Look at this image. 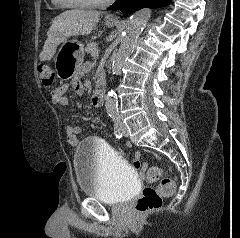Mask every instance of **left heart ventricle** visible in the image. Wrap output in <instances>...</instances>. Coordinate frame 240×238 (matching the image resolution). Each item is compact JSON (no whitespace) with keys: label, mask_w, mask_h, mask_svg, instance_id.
Masks as SVG:
<instances>
[{"label":"left heart ventricle","mask_w":240,"mask_h":238,"mask_svg":"<svg viewBox=\"0 0 240 238\" xmlns=\"http://www.w3.org/2000/svg\"><path fill=\"white\" fill-rule=\"evenodd\" d=\"M72 1L98 2V1H102V0H72Z\"/></svg>","instance_id":"obj_1"}]
</instances>
